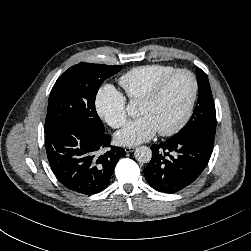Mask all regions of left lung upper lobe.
<instances>
[{
	"mask_svg": "<svg viewBox=\"0 0 251 251\" xmlns=\"http://www.w3.org/2000/svg\"><path fill=\"white\" fill-rule=\"evenodd\" d=\"M196 74L199 95L195 110L188 123L171 138L183 137L193 133L215 137L216 112L208 77L201 69H197Z\"/></svg>",
	"mask_w": 251,
	"mask_h": 251,
	"instance_id": "obj_1",
	"label": "left lung upper lobe"
}]
</instances>
